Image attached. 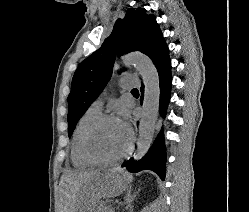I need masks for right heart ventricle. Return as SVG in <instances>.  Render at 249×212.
<instances>
[{
  "instance_id": "e07e8e85",
  "label": "right heart ventricle",
  "mask_w": 249,
  "mask_h": 212,
  "mask_svg": "<svg viewBox=\"0 0 249 212\" xmlns=\"http://www.w3.org/2000/svg\"><path fill=\"white\" fill-rule=\"evenodd\" d=\"M101 115V111L90 106L85 110V112L80 116L75 128L72 132V136L69 143V159L71 165L75 169H86L91 166L81 155L80 152V142L82 135L87 128V126L98 116Z\"/></svg>"
}]
</instances>
